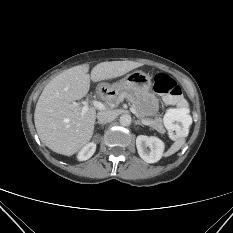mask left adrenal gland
I'll return each instance as SVG.
<instances>
[{"label": "left adrenal gland", "mask_w": 233, "mask_h": 233, "mask_svg": "<svg viewBox=\"0 0 233 233\" xmlns=\"http://www.w3.org/2000/svg\"><path fill=\"white\" fill-rule=\"evenodd\" d=\"M135 124H136V125L143 126V124H142L141 122H139L138 120H135Z\"/></svg>", "instance_id": "obj_1"}]
</instances>
